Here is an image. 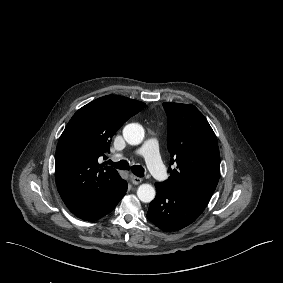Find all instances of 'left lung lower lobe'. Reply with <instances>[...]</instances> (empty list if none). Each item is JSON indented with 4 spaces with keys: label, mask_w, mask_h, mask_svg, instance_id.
I'll return each instance as SVG.
<instances>
[{
    "label": "left lung lower lobe",
    "mask_w": 283,
    "mask_h": 283,
    "mask_svg": "<svg viewBox=\"0 0 283 283\" xmlns=\"http://www.w3.org/2000/svg\"><path fill=\"white\" fill-rule=\"evenodd\" d=\"M157 195L150 203L147 218L164 231H178L194 222L207 203L192 195L155 184Z\"/></svg>",
    "instance_id": "1"
}]
</instances>
